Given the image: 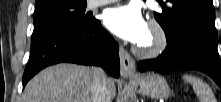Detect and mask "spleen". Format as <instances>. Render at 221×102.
I'll return each mask as SVG.
<instances>
[{
	"label": "spleen",
	"mask_w": 221,
	"mask_h": 102,
	"mask_svg": "<svg viewBox=\"0 0 221 102\" xmlns=\"http://www.w3.org/2000/svg\"><path fill=\"white\" fill-rule=\"evenodd\" d=\"M182 78L185 82L193 86V89L196 95L199 97L200 102H216L212 90L205 82H203V80L187 74L183 75Z\"/></svg>",
	"instance_id": "spleen-1"
}]
</instances>
